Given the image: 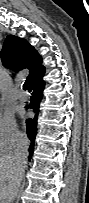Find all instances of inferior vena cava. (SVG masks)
Listing matches in <instances>:
<instances>
[{
  "label": "inferior vena cava",
  "mask_w": 89,
  "mask_h": 203,
  "mask_svg": "<svg viewBox=\"0 0 89 203\" xmlns=\"http://www.w3.org/2000/svg\"><path fill=\"white\" fill-rule=\"evenodd\" d=\"M28 147H29V140L27 137H21L20 139H18L14 156L18 161L19 179L17 180V184L14 190V194H13L14 197L17 195L19 184L21 182V179L23 177L24 170L27 164Z\"/></svg>",
  "instance_id": "inferior-vena-cava-1"
}]
</instances>
